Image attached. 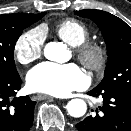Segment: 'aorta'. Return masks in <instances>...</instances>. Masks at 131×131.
<instances>
[{"label":"aorta","mask_w":131,"mask_h":131,"mask_svg":"<svg viewBox=\"0 0 131 131\" xmlns=\"http://www.w3.org/2000/svg\"><path fill=\"white\" fill-rule=\"evenodd\" d=\"M66 47L61 43L50 42L45 46L44 55L52 61H61ZM67 111L72 117H82L87 111V104L82 99H72L67 103Z\"/></svg>","instance_id":"aorta-1"}]
</instances>
